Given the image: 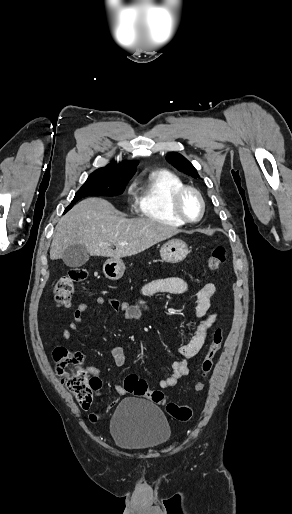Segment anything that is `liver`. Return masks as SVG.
<instances>
[{
	"label": "liver",
	"mask_w": 292,
	"mask_h": 514,
	"mask_svg": "<svg viewBox=\"0 0 292 514\" xmlns=\"http://www.w3.org/2000/svg\"><path fill=\"white\" fill-rule=\"evenodd\" d=\"M182 230L164 226L149 218H122L112 204L102 198H86L59 220L50 250L51 260H59L67 246L85 244L90 256L126 258L168 240ZM115 246L116 250H112Z\"/></svg>",
	"instance_id": "1"
}]
</instances>
